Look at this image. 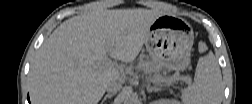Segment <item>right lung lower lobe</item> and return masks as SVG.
<instances>
[{
  "label": "right lung lower lobe",
  "mask_w": 252,
  "mask_h": 104,
  "mask_svg": "<svg viewBox=\"0 0 252 104\" xmlns=\"http://www.w3.org/2000/svg\"><path fill=\"white\" fill-rule=\"evenodd\" d=\"M28 101H29V103H30L29 96H28Z\"/></svg>",
  "instance_id": "obj_1"
}]
</instances>
